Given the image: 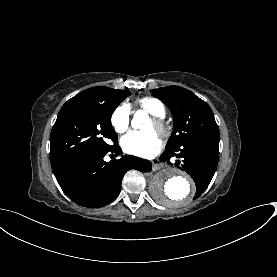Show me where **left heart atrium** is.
Instances as JSON below:
<instances>
[{
  "label": "left heart atrium",
  "mask_w": 277,
  "mask_h": 277,
  "mask_svg": "<svg viewBox=\"0 0 277 277\" xmlns=\"http://www.w3.org/2000/svg\"><path fill=\"white\" fill-rule=\"evenodd\" d=\"M125 152L141 157H151L162 147V141L154 131L131 132L121 139Z\"/></svg>",
  "instance_id": "1"
}]
</instances>
